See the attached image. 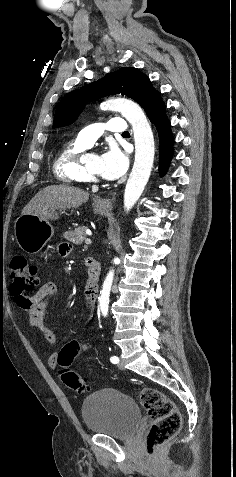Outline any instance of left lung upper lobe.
<instances>
[{"instance_id": "5c2ea615", "label": "left lung upper lobe", "mask_w": 236, "mask_h": 477, "mask_svg": "<svg viewBox=\"0 0 236 477\" xmlns=\"http://www.w3.org/2000/svg\"><path fill=\"white\" fill-rule=\"evenodd\" d=\"M156 93L157 90L151 85L149 78L141 71L136 68H121L68 94L56 109L53 125L60 127L73 123L83 110L86 101L113 94H122L134 99L146 111Z\"/></svg>"}]
</instances>
